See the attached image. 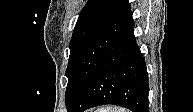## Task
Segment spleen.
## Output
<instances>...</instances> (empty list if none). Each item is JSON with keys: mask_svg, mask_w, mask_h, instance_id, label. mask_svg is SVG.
Masks as SVG:
<instances>
[{"mask_svg": "<svg viewBox=\"0 0 193 112\" xmlns=\"http://www.w3.org/2000/svg\"><path fill=\"white\" fill-rule=\"evenodd\" d=\"M99 112H125V110L124 109L109 110V109L102 108L99 110Z\"/></svg>", "mask_w": 193, "mask_h": 112, "instance_id": "spleen-1", "label": "spleen"}]
</instances>
